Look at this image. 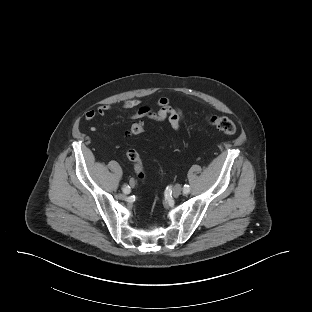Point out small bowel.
I'll return each instance as SVG.
<instances>
[{"label": "small bowel", "instance_id": "obj_1", "mask_svg": "<svg viewBox=\"0 0 312 312\" xmlns=\"http://www.w3.org/2000/svg\"><path fill=\"white\" fill-rule=\"evenodd\" d=\"M158 109H153L147 105H141L138 99H127L121 103L123 109L137 108L136 112L131 115V119L148 118L154 121L168 120L171 127L178 130L182 121V111L171 105L169 98L160 97L156 102ZM112 110V106L104 104L97 109L88 110L85 113V119L92 121L98 116H104Z\"/></svg>", "mask_w": 312, "mask_h": 312}]
</instances>
